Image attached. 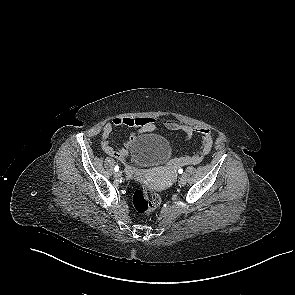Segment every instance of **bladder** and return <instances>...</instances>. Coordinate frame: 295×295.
Segmentation results:
<instances>
[{
  "label": "bladder",
  "mask_w": 295,
  "mask_h": 295,
  "mask_svg": "<svg viewBox=\"0 0 295 295\" xmlns=\"http://www.w3.org/2000/svg\"><path fill=\"white\" fill-rule=\"evenodd\" d=\"M170 156V144L158 134H145L136 138L130 149L131 162L142 168L162 165Z\"/></svg>",
  "instance_id": "1"
}]
</instances>
